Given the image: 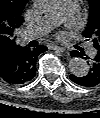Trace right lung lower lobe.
Returning a JSON list of instances; mask_svg holds the SVG:
<instances>
[{"label": "right lung lower lobe", "mask_w": 100, "mask_h": 118, "mask_svg": "<svg viewBox=\"0 0 100 118\" xmlns=\"http://www.w3.org/2000/svg\"><path fill=\"white\" fill-rule=\"evenodd\" d=\"M47 48L39 45L34 49L21 47L12 56L0 59V77L9 84H23L36 75V61Z\"/></svg>", "instance_id": "1"}]
</instances>
